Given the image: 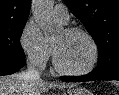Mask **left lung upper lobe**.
<instances>
[{
	"label": "left lung upper lobe",
	"instance_id": "1",
	"mask_svg": "<svg viewBox=\"0 0 119 95\" xmlns=\"http://www.w3.org/2000/svg\"><path fill=\"white\" fill-rule=\"evenodd\" d=\"M86 27L98 47L102 74L119 68V0H64Z\"/></svg>",
	"mask_w": 119,
	"mask_h": 95
}]
</instances>
